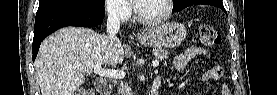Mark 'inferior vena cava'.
<instances>
[{"label":"inferior vena cava","instance_id":"602c4592","mask_svg":"<svg viewBox=\"0 0 277 95\" xmlns=\"http://www.w3.org/2000/svg\"><path fill=\"white\" fill-rule=\"evenodd\" d=\"M120 29V18L118 9L112 7L109 9L108 19H107V33L108 38L111 43H115L118 39L116 34L119 32Z\"/></svg>","mask_w":277,"mask_h":95}]
</instances>
